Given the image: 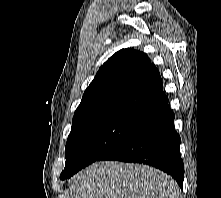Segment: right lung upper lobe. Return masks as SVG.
<instances>
[{
	"instance_id": "obj_1",
	"label": "right lung upper lobe",
	"mask_w": 221,
	"mask_h": 198,
	"mask_svg": "<svg viewBox=\"0 0 221 198\" xmlns=\"http://www.w3.org/2000/svg\"><path fill=\"white\" fill-rule=\"evenodd\" d=\"M167 102L160 74L148 56L122 49L103 64L85 90L71 131L109 117L143 121Z\"/></svg>"
}]
</instances>
